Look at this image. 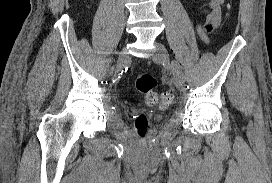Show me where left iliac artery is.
Listing matches in <instances>:
<instances>
[{"mask_svg": "<svg viewBox=\"0 0 272 183\" xmlns=\"http://www.w3.org/2000/svg\"><path fill=\"white\" fill-rule=\"evenodd\" d=\"M172 67H173L174 73L176 75V78L180 82L183 83L185 81V76H184L183 72L181 71V67H180L179 63L177 61L173 60Z\"/></svg>", "mask_w": 272, "mask_h": 183, "instance_id": "obj_1", "label": "left iliac artery"}]
</instances>
